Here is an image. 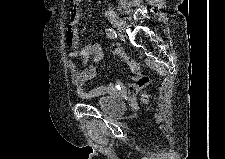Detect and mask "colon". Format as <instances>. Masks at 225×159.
<instances>
[{
	"mask_svg": "<svg viewBox=\"0 0 225 159\" xmlns=\"http://www.w3.org/2000/svg\"><path fill=\"white\" fill-rule=\"evenodd\" d=\"M125 59H126V61L128 63V66H129L131 72H132V75H134V77L140 78V79L145 78L144 76H141L140 66H139L138 62L134 58H132L129 55H125Z\"/></svg>",
	"mask_w": 225,
	"mask_h": 159,
	"instance_id": "obj_1",
	"label": "colon"
}]
</instances>
